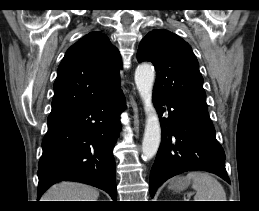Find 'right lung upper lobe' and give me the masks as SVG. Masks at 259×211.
Here are the masks:
<instances>
[{
  "label": "right lung upper lobe",
  "mask_w": 259,
  "mask_h": 211,
  "mask_svg": "<svg viewBox=\"0 0 259 211\" xmlns=\"http://www.w3.org/2000/svg\"><path fill=\"white\" fill-rule=\"evenodd\" d=\"M120 62L105 34L85 35L67 50L58 67L51 112L85 106L119 92Z\"/></svg>",
  "instance_id": "obj_1"
}]
</instances>
